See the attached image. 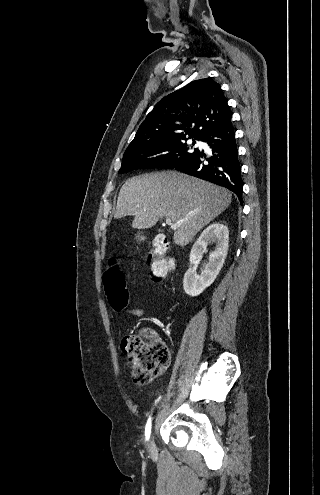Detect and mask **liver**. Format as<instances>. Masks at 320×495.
Returning a JSON list of instances; mask_svg holds the SVG:
<instances>
[{"label":"liver","mask_w":320,"mask_h":495,"mask_svg":"<svg viewBox=\"0 0 320 495\" xmlns=\"http://www.w3.org/2000/svg\"><path fill=\"white\" fill-rule=\"evenodd\" d=\"M231 201L232 194L222 187L173 171L158 172L125 181L114 217L134 216V229L151 228L159 218L170 217L176 225L174 242L185 246Z\"/></svg>","instance_id":"liver-1"}]
</instances>
